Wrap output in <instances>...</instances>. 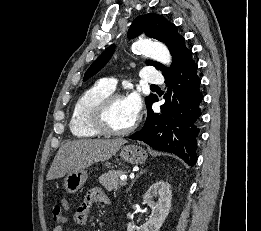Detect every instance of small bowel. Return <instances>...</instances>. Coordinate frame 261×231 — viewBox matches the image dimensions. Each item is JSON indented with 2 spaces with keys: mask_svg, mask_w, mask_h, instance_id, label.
Returning <instances> with one entry per match:
<instances>
[{
  "mask_svg": "<svg viewBox=\"0 0 261 231\" xmlns=\"http://www.w3.org/2000/svg\"><path fill=\"white\" fill-rule=\"evenodd\" d=\"M94 204L110 205V199L100 189H91L78 206L72 220L63 215V207L56 205L53 209V221L56 223L53 231H65L69 226H84L88 222L90 210Z\"/></svg>",
  "mask_w": 261,
  "mask_h": 231,
  "instance_id": "obj_1",
  "label": "small bowel"
}]
</instances>
